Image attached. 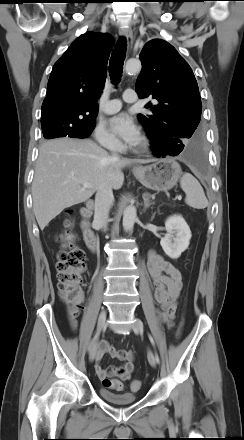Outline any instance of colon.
<instances>
[{
	"label": "colon",
	"instance_id": "1",
	"mask_svg": "<svg viewBox=\"0 0 244 440\" xmlns=\"http://www.w3.org/2000/svg\"><path fill=\"white\" fill-rule=\"evenodd\" d=\"M58 291L61 299L68 307L69 316L73 319L83 303L82 282L86 270L85 254L82 249L72 243H62L57 255ZM103 387L121 391L124 389L122 380L115 377H106L102 380ZM141 382L133 380L131 389H140Z\"/></svg>",
	"mask_w": 244,
	"mask_h": 440
}]
</instances>
